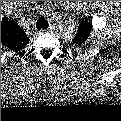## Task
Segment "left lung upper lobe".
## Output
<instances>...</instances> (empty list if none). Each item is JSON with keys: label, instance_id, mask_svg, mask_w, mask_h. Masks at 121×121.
<instances>
[{"label": "left lung upper lobe", "instance_id": "5c2ea615", "mask_svg": "<svg viewBox=\"0 0 121 121\" xmlns=\"http://www.w3.org/2000/svg\"><path fill=\"white\" fill-rule=\"evenodd\" d=\"M92 31V23L88 20H83L79 25L78 34L75 37V43L81 45L89 37Z\"/></svg>", "mask_w": 121, "mask_h": 121}]
</instances>
